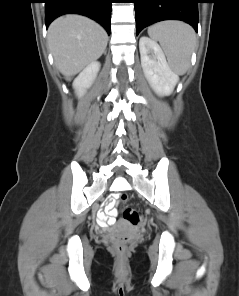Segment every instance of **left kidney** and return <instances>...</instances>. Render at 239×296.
<instances>
[{"label": "left kidney", "instance_id": "1", "mask_svg": "<svg viewBox=\"0 0 239 296\" xmlns=\"http://www.w3.org/2000/svg\"><path fill=\"white\" fill-rule=\"evenodd\" d=\"M141 65L147 81L160 96L170 95L179 77L169 67L158 43L146 36L139 40Z\"/></svg>", "mask_w": 239, "mask_h": 296}]
</instances>
